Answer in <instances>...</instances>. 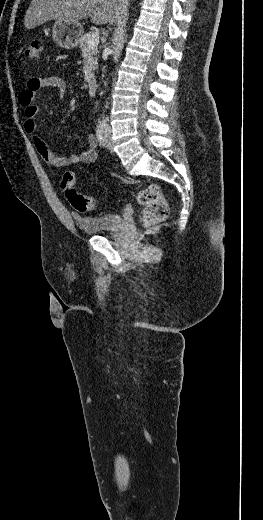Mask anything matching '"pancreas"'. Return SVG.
I'll use <instances>...</instances> for the list:
<instances>
[{
  "label": "pancreas",
  "mask_w": 263,
  "mask_h": 520,
  "mask_svg": "<svg viewBox=\"0 0 263 520\" xmlns=\"http://www.w3.org/2000/svg\"><path fill=\"white\" fill-rule=\"evenodd\" d=\"M92 32L86 33L82 35L79 39V48L82 51V56L84 57L83 63V73L84 80L86 82H91L94 79V70L98 64V47H89L88 40L92 37Z\"/></svg>",
  "instance_id": "obj_1"
}]
</instances>
